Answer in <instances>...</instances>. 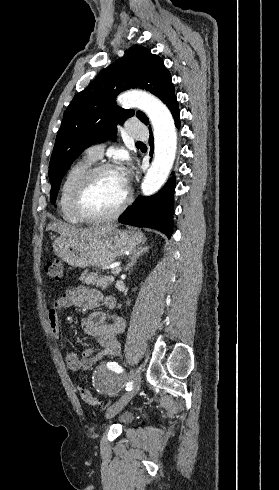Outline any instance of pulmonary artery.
Returning a JSON list of instances; mask_svg holds the SVG:
<instances>
[{"mask_svg": "<svg viewBox=\"0 0 279 490\" xmlns=\"http://www.w3.org/2000/svg\"><path fill=\"white\" fill-rule=\"evenodd\" d=\"M127 131L131 134L133 140H145L148 131L145 129L143 122H138L135 117H132L126 125ZM104 146L95 143L87 147L84 151V157L92 162L99 160L102 157Z\"/></svg>", "mask_w": 279, "mask_h": 490, "instance_id": "1", "label": "pulmonary artery"}]
</instances>
